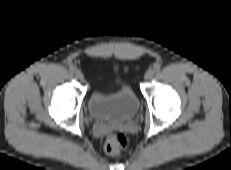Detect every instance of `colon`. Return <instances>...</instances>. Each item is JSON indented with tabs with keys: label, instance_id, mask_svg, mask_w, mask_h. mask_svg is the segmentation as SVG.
<instances>
[{
	"label": "colon",
	"instance_id": "obj_1",
	"mask_svg": "<svg viewBox=\"0 0 231 170\" xmlns=\"http://www.w3.org/2000/svg\"><path fill=\"white\" fill-rule=\"evenodd\" d=\"M128 144L127 137L123 133H115L108 137L105 142V150L108 154L116 155Z\"/></svg>",
	"mask_w": 231,
	"mask_h": 170
}]
</instances>
